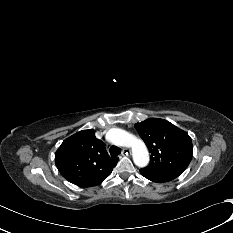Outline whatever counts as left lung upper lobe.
<instances>
[{"instance_id":"obj_1","label":"left lung upper lobe","mask_w":233,"mask_h":233,"mask_svg":"<svg viewBox=\"0 0 233 233\" xmlns=\"http://www.w3.org/2000/svg\"><path fill=\"white\" fill-rule=\"evenodd\" d=\"M134 127L151 153L150 164L140 172L159 182H168L187 168L193 146L185 131L158 118L147 119Z\"/></svg>"}]
</instances>
